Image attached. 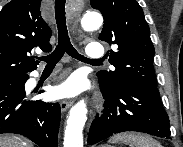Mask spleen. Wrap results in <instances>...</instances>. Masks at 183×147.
<instances>
[{"mask_svg": "<svg viewBox=\"0 0 183 147\" xmlns=\"http://www.w3.org/2000/svg\"><path fill=\"white\" fill-rule=\"evenodd\" d=\"M111 143H125L130 147H162L152 137L137 133H122L114 135L109 139Z\"/></svg>", "mask_w": 183, "mask_h": 147, "instance_id": "3e777b00", "label": "spleen"}]
</instances>
